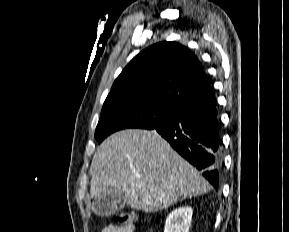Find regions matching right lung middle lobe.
Returning a JSON list of instances; mask_svg holds the SVG:
<instances>
[{"label":"right lung middle lobe","instance_id":"1","mask_svg":"<svg viewBox=\"0 0 289 232\" xmlns=\"http://www.w3.org/2000/svg\"><path fill=\"white\" fill-rule=\"evenodd\" d=\"M179 108L144 97L108 98L103 104L95 139L101 143L115 131L127 128L154 129L176 118Z\"/></svg>","mask_w":289,"mask_h":232}]
</instances>
